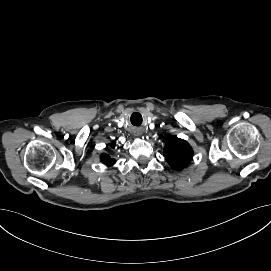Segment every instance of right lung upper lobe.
<instances>
[{
    "label": "right lung upper lobe",
    "instance_id": "1",
    "mask_svg": "<svg viewBox=\"0 0 271 271\" xmlns=\"http://www.w3.org/2000/svg\"><path fill=\"white\" fill-rule=\"evenodd\" d=\"M101 161L107 166H112L116 162L115 159L111 158L110 155L105 153L101 155Z\"/></svg>",
    "mask_w": 271,
    "mask_h": 271
}]
</instances>
